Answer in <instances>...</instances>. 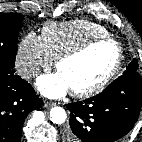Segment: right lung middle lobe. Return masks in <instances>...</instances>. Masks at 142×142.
Masks as SVG:
<instances>
[{
	"label": "right lung middle lobe",
	"mask_w": 142,
	"mask_h": 142,
	"mask_svg": "<svg viewBox=\"0 0 142 142\" xmlns=\"http://www.w3.org/2000/svg\"><path fill=\"white\" fill-rule=\"evenodd\" d=\"M22 21L23 16L19 13H0V72L14 73Z\"/></svg>",
	"instance_id": "dd1d6c3e"
}]
</instances>
